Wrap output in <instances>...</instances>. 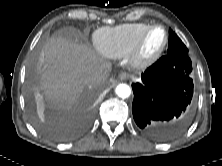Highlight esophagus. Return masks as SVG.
Listing matches in <instances>:
<instances>
[{"instance_id": "obj_1", "label": "esophagus", "mask_w": 222, "mask_h": 166, "mask_svg": "<svg viewBox=\"0 0 222 166\" xmlns=\"http://www.w3.org/2000/svg\"><path fill=\"white\" fill-rule=\"evenodd\" d=\"M118 78L123 81V80H127L129 78V74L126 72H122L118 75Z\"/></svg>"}]
</instances>
